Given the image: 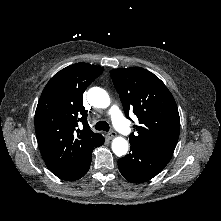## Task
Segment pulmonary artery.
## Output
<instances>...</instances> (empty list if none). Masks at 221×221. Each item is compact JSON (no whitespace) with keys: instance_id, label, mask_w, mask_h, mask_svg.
I'll return each mask as SVG.
<instances>
[{"instance_id":"obj_1","label":"pulmonary artery","mask_w":221,"mask_h":221,"mask_svg":"<svg viewBox=\"0 0 221 221\" xmlns=\"http://www.w3.org/2000/svg\"><path fill=\"white\" fill-rule=\"evenodd\" d=\"M108 113L112 118L115 128L120 133H122L125 136H128L131 134V128L129 124L127 123L120 109L116 105L111 106Z\"/></svg>"}]
</instances>
